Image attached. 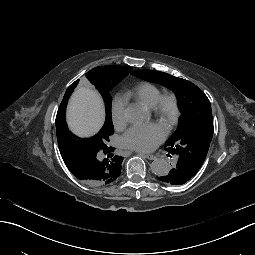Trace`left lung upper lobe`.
Returning <instances> with one entry per match:
<instances>
[{
  "mask_svg": "<svg viewBox=\"0 0 255 255\" xmlns=\"http://www.w3.org/2000/svg\"><path fill=\"white\" fill-rule=\"evenodd\" d=\"M131 74L163 85L176 94L182 116L177 130L165 143L166 151L193 166L197 173L206 159L214 131L209 99L195 84L164 72L135 70Z\"/></svg>",
  "mask_w": 255,
  "mask_h": 255,
  "instance_id": "5c2ea615",
  "label": "left lung upper lobe"
}]
</instances>
